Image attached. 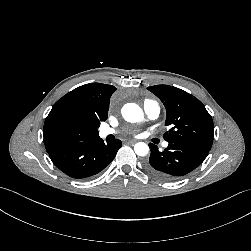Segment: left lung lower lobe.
<instances>
[{
	"label": "left lung lower lobe",
	"instance_id": "obj_1",
	"mask_svg": "<svg viewBox=\"0 0 251 251\" xmlns=\"http://www.w3.org/2000/svg\"><path fill=\"white\" fill-rule=\"evenodd\" d=\"M151 155L146 163L147 170L164 181H174L197 168L209 150L188 143H170L164 151L149 144Z\"/></svg>",
	"mask_w": 251,
	"mask_h": 251
}]
</instances>
